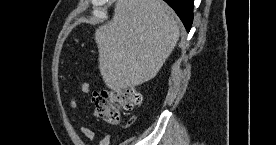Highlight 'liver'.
Returning <instances> with one entry per match:
<instances>
[{"label": "liver", "mask_w": 276, "mask_h": 145, "mask_svg": "<svg viewBox=\"0 0 276 145\" xmlns=\"http://www.w3.org/2000/svg\"><path fill=\"white\" fill-rule=\"evenodd\" d=\"M179 28L162 0H118L112 20L95 32L105 85L119 90L154 78L179 40Z\"/></svg>", "instance_id": "1"}]
</instances>
